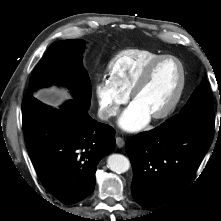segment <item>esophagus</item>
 <instances>
[{
  "instance_id": "34e87169",
  "label": "esophagus",
  "mask_w": 221,
  "mask_h": 221,
  "mask_svg": "<svg viewBox=\"0 0 221 221\" xmlns=\"http://www.w3.org/2000/svg\"><path fill=\"white\" fill-rule=\"evenodd\" d=\"M116 145L119 148H122L125 145V141L121 137H116Z\"/></svg>"
}]
</instances>
